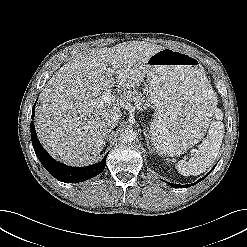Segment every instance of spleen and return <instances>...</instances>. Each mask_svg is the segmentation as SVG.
<instances>
[{"mask_svg":"<svg viewBox=\"0 0 247 247\" xmlns=\"http://www.w3.org/2000/svg\"><path fill=\"white\" fill-rule=\"evenodd\" d=\"M217 121L210 124L207 137L198 146L194 157L189 161L181 160L177 163V170L183 176H197L212 166L219 154L220 146L224 136V124L222 111L215 109L213 112Z\"/></svg>","mask_w":247,"mask_h":247,"instance_id":"1","label":"spleen"}]
</instances>
